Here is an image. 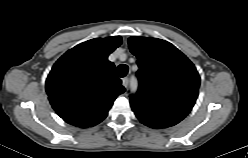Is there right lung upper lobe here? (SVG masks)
<instances>
[{
  "label": "right lung upper lobe",
  "instance_id": "cb5924a9",
  "mask_svg": "<svg viewBox=\"0 0 248 158\" xmlns=\"http://www.w3.org/2000/svg\"><path fill=\"white\" fill-rule=\"evenodd\" d=\"M121 43L120 36L91 39L68 50L54 64L46 92L64 121L87 128L106 118L116 97L125 91L107 59Z\"/></svg>",
  "mask_w": 248,
  "mask_h": 158
}]
</instances>
